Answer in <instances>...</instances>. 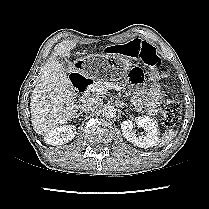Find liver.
I'll list each match as a JSON object with an SVG mask.
<instances>
[{
  "label": "liver",
  "mask_w": 209,
  "mask_h": 209,
  "mask_svg": "<svg viewBox=\"0 0 209 209\" xmlns=\"http://www.w3.org/2000/svg\"><path fill=\"white\" fill-rule=\"evenodd\" d=\"M76 42L65 40L57 44L48 58L31 96V122L34 131L46 135L70 121L77 110L74 87L57 57H69Z\"/></svg>",
  "instance_id": "liver-1"
}]
</instances>
